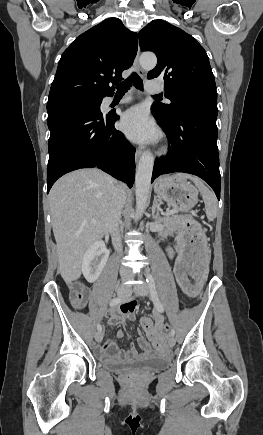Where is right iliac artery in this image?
Segmentation results:
<instances>
[{"instance_id": "82829eb1", "label": "right iliac artery", "mask_w": 263, "mask_h": 435, "mask_svg": "<svg viewBox=\"0 0 263 435\" xmlns=\"http://www.w3.org/2000/svg\"><path fill=\"white\" fill-rule=\"evenodd\" d=\"M124 301H126V300H124V299H122V298H120V297L113 298V299L110 301V306H116V305H118L119 303L124 302ZM97 330H98V331H101V330H102L101 325H97Z\"/></svg>"}]
</instances>
